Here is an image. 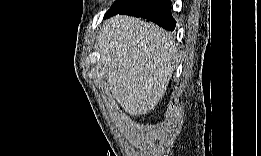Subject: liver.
<instances>
[{
  "mask_svg": "<svg viewBox=\"0 0 261 156\" xmlns=\"http://www.w3.org/2000/svg\"><path fill=\"white\" fill-rule=\"evenodd\" d=\"M96 48L112 97L132 116L162 100L178 60L170 35L141 19L116 15L105 23Z\"/></svg>",
  "mask_w": 261,
  "mask_h": 156,
  "instance_id": "obj_1",
  "label": "liver"
}]
</instances>
